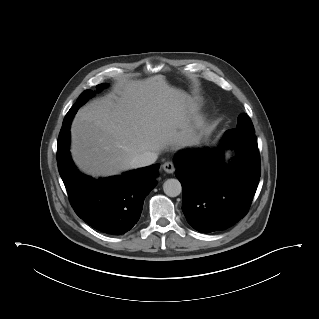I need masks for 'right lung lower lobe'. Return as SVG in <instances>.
I'll return each mask as SVG.
<instances>
[{
    "instance_id": "1",
    "label": "right lung lower lobe",
    "mask_w": 319,
    "mask_h": 319,
    "mask_svg": "<svg viewBox=\"0 0 319 319\" xmlns=\"http://www.w3.org/2000/svg\"><path fill=\"white\" fill-rule=\"evenodd\" d=\"M69 137V129L58 137L57 163L73 209L98 231L126 233L139 220L143 201L157 183L159 165L94 180L75 168L69 154Z\"/></svg>"
}]
</instances>
